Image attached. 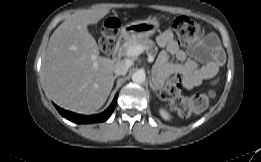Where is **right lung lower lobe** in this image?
<instances>
[{
    "label": "right lung lower lobe",
    "instance_id": "obj_1",
    "mask_svg": "<svg viewBox=\"0 0 261 162\" xmlns=\"http://www.w3.org/2000/svg\"><path fill=\"white\" fill-rule=\"evenodd\" d=\"M118 94L115 95L111 105L105 110L104 112L96 115H91V116H85V115H80V114H75L73 112H69L67 110H64L62 108H59L58 106H55V108L58 110V112L66 119L75 122V123H97V122H103L107 120L110 115L113 113L115 106H116V101H117Z\"/></svg>",
    "mask_w": 261,
    "mask_h": 162
}]
</instances>
